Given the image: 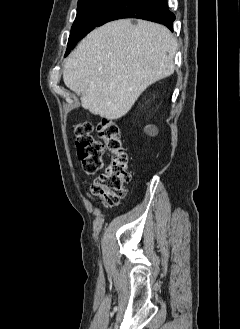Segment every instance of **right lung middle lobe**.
<instances>
[{
    "label": "right lung middle lobe",
    "mask_w": 240,
    "mask_h": 329,
    "mask_svg": "<svg viewBox=\"0 0 240 329\" xmlns=\"http://www.w3.org/2000/svg\"><path fill=\"white\" fill-rule=\"evenodd\" d=\"M120 0H79L65 56Z\"/></svg>",
    "instance_id": "1"
}]
</instances>
